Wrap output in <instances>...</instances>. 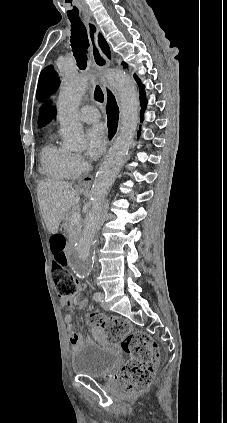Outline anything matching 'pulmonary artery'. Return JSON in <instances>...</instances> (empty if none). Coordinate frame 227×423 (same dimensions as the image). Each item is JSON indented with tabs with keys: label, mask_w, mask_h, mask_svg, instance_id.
I'll return each mask as SVG.
<instances>
[{
	"label": "pulmonary artery",
	"mask_w": 227,
	"mask_h": 423,
	"mask_svg": "<svg viewBox=\"0 0 227 423\" xmlns=\"http://www.w3.org/2000/svg\"><path fill=\"white\" fill-rule=\"evenodd\" d=\"M78 118L84 123L96 124L100 120V113L94 106L85 105L80 108Z\"/></svg>",
	"instance_id": "1"
}]
</instances>
